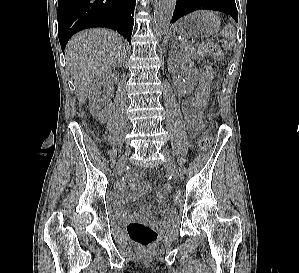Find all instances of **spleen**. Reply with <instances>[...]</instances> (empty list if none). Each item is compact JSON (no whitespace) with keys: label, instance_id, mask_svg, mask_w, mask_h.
I'll return each instance as SVG.
<instances>
[{"label":"spleen","instance_id":"1","mask_svg":"<svg viewBox=\"0 0 299 273\" xmlns=\"http://www.w3.org/2000/svg\"><path fill=\"white\" fill-rule=\"evenodd\" d=\"M203 13L210 22H213L216 25L217 28L220 27V21L213 12L204 11ZM223 37H224V42L222 43L223 48L225 50H230L235 43V37H236L235 27L231 24L226 25L223 28Z\"/></svg>","mask_w":299,"mask_h":273}]
</instances>
